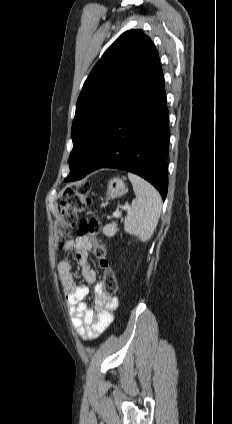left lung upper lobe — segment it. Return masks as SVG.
Instances as JSON below:
<instances>
[{
  "mask_svg": "<svg viewBox=\"0 0 232 424\" xmlns=\"http://www.w3.org/2000/svg\"><path fill=\"white\" fill-rule=\"evenodd\" d=\"M159 62L150 38L132 30L121 34L96 63L76 104L69 180L86 175L108 129Z\"/></svg>",
  "mask_w": 232,
  "mask_h": 424,
  "instance_id": "5c2ea615",
  "label": "left lung upper lobe"
}]
</instances>
